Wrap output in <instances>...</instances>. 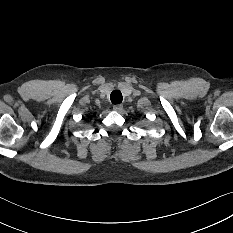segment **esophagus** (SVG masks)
I'll use <instances>...</instances> for the list:
<instances>
[{
  "mask_svg": "<svg viewBox=\"0 0 233 233\" xmlns=\"http://www.w3.org/2000/svg\"><path fill=\"white\" fill-rule=\"evenodd\" d=\"M113 109L117 112H121L123 110V105L122 104H116L113 106Z\"/></svg>",
  "mask_w": 233,
  "mask_h": 233,
  "instance_id": "1",
  "label": "esophagus"
}]
</instances>
